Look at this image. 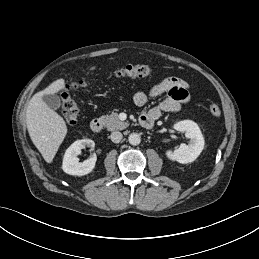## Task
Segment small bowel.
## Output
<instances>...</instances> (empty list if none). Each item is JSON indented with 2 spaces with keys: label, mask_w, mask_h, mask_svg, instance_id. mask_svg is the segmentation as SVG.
Instances as JSON below:
<instances>
[{
  "label": "small bowel",
  "mask_w": 259,
  "mask_h": 259,
  "mask_svg": "<svg viewBox=\"0 0 259 259\" xmlns=\"http://www.w3.org/2000/svg\"><path fill=\"white\" fill-rule=\"evenodd\" d=\"M166 94V98L157 106L142 115L149 116L154 120L158 119L164 112H178L189 102L190 95L188 85L185 81L176 77H167L154 85L148 92L138 91L134 95V102L137 106H144L148 99Z\"/></svg>",
  "instance_id": "c3829d8e"
}]
</instances>
